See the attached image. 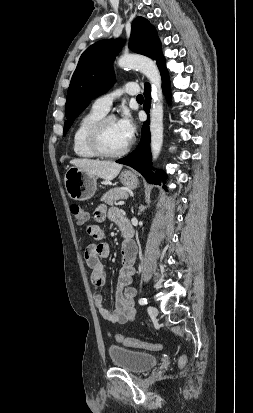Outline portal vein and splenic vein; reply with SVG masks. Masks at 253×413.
I'll return each instance as SVG.
<instances>
[{
	"instance_id": "portal-vein-and-splenic-vein-1",
	"label": "portal vein and splenic vein",
	"mask_w": 253,
	"mask_h": 413,
	"mask_svg": "<svg viewBox=\"0 0 253 413\" xmlns=\"http://www.w3.org/2000/svg\"><path fill=\"white\" fill-rule=\"evenodd\" d=\"M124 204H125L124 201H119V202L117 203L118 206H122V205H124Z\"/></svg>"
}]
</instances>
